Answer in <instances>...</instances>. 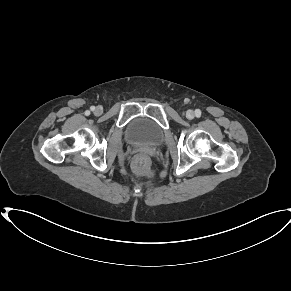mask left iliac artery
Returning <instances> with one entry per match:
<instances>
[{"instance_id": "obj_1", "label": "left iliac artery", "mask_w": 291, "mask_h": 291, "mask_svg": "<svg viewBox=\"0 0 291 291\" xmlns=\"http://www.w3.org/2000/svg\"><path fill=\"white\" fill-rule=\"evenodd\" d=\"M195 115H196L197 117H200V116H201V111H200L199 109H196V110H195Z\"/></svg>"}]
</instances>
